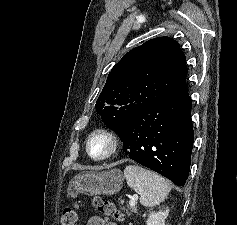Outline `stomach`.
Instances as JSON below:
<instances>
[{
  "label": "stomach",
  "mask_w": 237,
  "mask_h": 225,
  "mask_svg": "<svg viewBox=\"0 0 237 225\" xmlns=\"http://www.w3.org/2000/svg\"><path fill=\"white\" fill-rule=\"evenodd\" d=\"M123 182L124 176L119 169L104 172L83 171L70 181L68 194L72 197L79 193L112 196L122 189Z\"/></svg>",
  "instance_id": "0dacf381"
}]
</instances>
